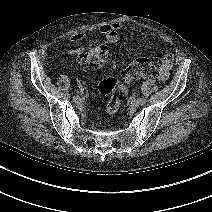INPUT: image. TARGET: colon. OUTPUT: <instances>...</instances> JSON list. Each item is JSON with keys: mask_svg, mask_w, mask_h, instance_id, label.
I'll return each mask as SVG.
<instances>
[{"mask_svg": "<svg viewBox=\"0 0 212 212\" xmlns=\"http://www.w3.org/2000/svg\"><path fill=\"white\" fill-rule=\"evenodd\" d=\"M108 58V49L104 45L91 47L85 53L80 54V60L87 66L101 68ZM160 78V71L153 61L146 57H139L133 60L122 72L123 83L115 77L106 76L99 84V91L102 95L108 96L107 112L115 114L121 104L127 98V84L140 79Z\"/></svg>", "mask_w": 212, "mask_h": 212, "instance_id": "1", "label": "colon"}]
</instances>
